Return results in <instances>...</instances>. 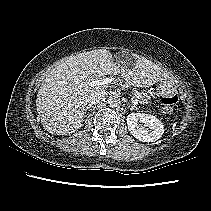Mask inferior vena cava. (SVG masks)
I'll list each match as a JSON object with an SVG mask.
<instances>
[{
	"label": "inferior vena cava",
	"mask_w": 211,
	"mask_h": 211,
	"mask_svg": "<svg viewBox=\"0 0 211 211\" xmlns=\"http://www.w3.org/2000/svg\"><path fill=\"white\" fill-rule=\"evenodd\" d=\"M107 95V92L105 90L97 91L93 94H91L87 98V102L89 104H97L99 101H101L105 96Z\"/></svg>",
	"instance_id": "obj_1"
}]
</instances>
